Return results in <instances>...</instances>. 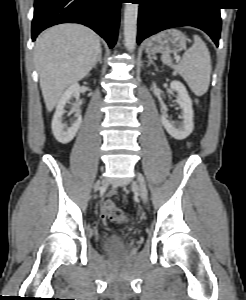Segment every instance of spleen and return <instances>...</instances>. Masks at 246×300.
<instances>
[{
    "label": "spleen",
    "instance_id": "3e777b00",
    "mask_svg": "<svg viewBox=\"0 0 246 300\" xmlns=\"http://www.w3.org/2000/svg\"><path fill=\"white\" fill-rule=\"evenodd\" d=\"M193 39V45L185 51L180 63L173 64L169 54H163L161 60L185 80L196 96H202L210 84L211 58L204 41L198 35H194Z\"/></svg>",
    "mask_w": 246,
    "mask_h": 300
}]
</instances>
